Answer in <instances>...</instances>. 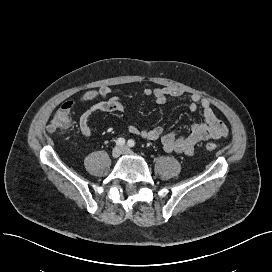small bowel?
I'll use <instances>...</instances> for the list:
<instances>
[{
	"instance_id": "1",
	"label": "small bowel",
	"mask_w": 272,
	"mask_h": 272,
	"mask_svg": "<svg viewBox=\"0 0 272 272\" xmlns=\"http://www.w3.org/2000/svg\"><path fill=\"white\" fill-rule=\"evenodd\" d=\"M112 89L108 86H101L96 89H90L81 96L82 102H89L95 99L100 101L94 103L87 108L79 118V129L86 137L93 135L89 120L91 116L99 111L102 112H123L124 104L117 96H111ZM144 95L153 97L157 103H163L169 97H183L185 92L177 87L162 88H145ZM68 106L72 111L75 103L73 101L66 102L62 107ZM189 109L191 111L201 110L203 120L193 124L187 135H180L176 132L164 134L161 127L145 129L142 127L130 125L128 132L137 136H141L147 140H161L163 149L167 152H177L190 155L193 153L197 143L209 139H219L228 135L227 126L216 116L213 103L200 97L192 95L189 97Z\"/></svg>"
}]
</instances>
